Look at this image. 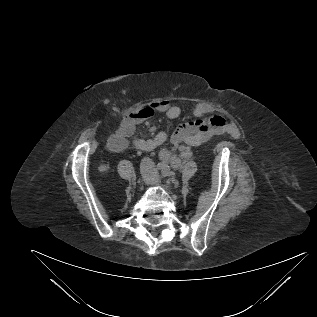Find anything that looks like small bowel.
Wrapping results in <instances>:
<instances>
[{
  "mask_svg": "<svg viewBox=\"0 0 317 317\" xmlns=\"http://www.w3.org/2000/svg\"><path fill=\"white\" fill-rule=\"evenodd\" d=\"M152 107L163 112L169 119H177L181 115V109L168 99L155 101ZM210 112L211 108L208 104H195L190 112L192 119L180 124L172 133L170 140L174 145L173 151L178 152L179 159H189L192 156V147L204 144L218 133L235 132V127L228 124L224 117L220 115L207 116ZM136 124L135 121L127 119L121 124L118 131L110 136L108 147L112 152H122L127 148V139L134 135ZM167 139V133L159 132L153 138H136L132 143L137 151H152L160 148V158L167 162L172 157V151L162 147Z\"/></svg>",
  "mask_w": 317,
  "mask_h": 317,
  "instance_id": "small-bowel-1",
  "label": "small bowel"
}]
</instances>
